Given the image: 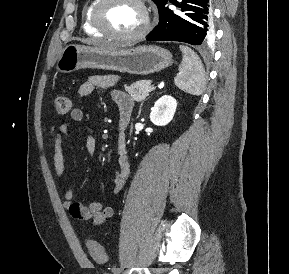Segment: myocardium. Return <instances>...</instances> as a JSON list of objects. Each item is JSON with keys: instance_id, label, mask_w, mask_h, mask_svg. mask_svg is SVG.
Masks as SVG:
<instances>
[{"instance_id": "f54148a6", "label": "myocardium", "mask_w": 289, "mask_h": 274, "mask_svg": "<svg viewBox=\"0 0 289 274\" xmlns=\"http://www.w3.org/2000/svg\"><path fill=\"white\" fill-rule=\"evenodd\" d=\"M116 0H97L96 4L93 7L92 10V24L93 26L101 32L104 36L111 38L113 40L117 41H124V42H130V41H136L141 38H143L149 31L150 26H151V16L149 9L147 5L145 4L144 0H131L135 3H137L143 10L144 12V24L141 27L140 30H138L135 33L132 34H120L112 31L107 27L103 20V13L104 10L107 8V6L114 2Z\"/></svg>"}]
</instances>
